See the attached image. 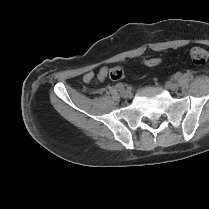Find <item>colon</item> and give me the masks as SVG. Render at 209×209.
I'll use <instances>...</instances> for the list:
<instances>
[{"mask_svg":"<svg viewBox=\"0 0 209 209\" xmlns=\"http://www.w3.org/2000/svg\"><path fill=\"white\" fill-rule=\"evenodd\" d=\"M190 56L194 64L204 66L209 61V52L201 47H193ZM159 58H148L143 61L147 67H155L160 64ZM124 77V70L121 67H114L109 71V78L113 81L121 80Z\"/></svg>","mask_w":209,"mask_h":209,"instance_id":"colon-1","label":"colon"}]
</instances>
